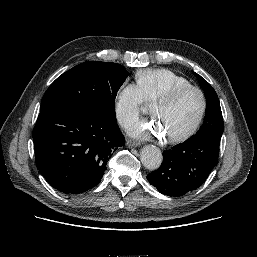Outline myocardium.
I'll use <instances>...</instances> for the list:
<instances>
[{"instance_id":"1","label":"myocardium","mask_w":257,"mask_h":257,"mask_svg":"<svg viewBox=\"0 0 257 257\" xmlns=\"http://www.w3.org/2000/svg\"><path fill=\"white\" fill-rule=\"evenodd\" d=\"M189 91L196 92L200 98L201 107H200L199 114H198L196 120L193 122V124L187 130H185L184 132H182L180 134L169 136L168 140L170 142L184 141V140L190 138L193 134H195V132L198 130V128L202 124V122L205 118L206 112H207L206 96L199 87L194 86V85H184V86H180V87L172 89L171 91H169V92L165 93L164 95L160 96L159 98H157L152 103V106L160 105V104H172L180 96H182L183 94H185L186 92H189Z\"/></svg>"}]
</instances>
